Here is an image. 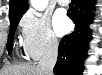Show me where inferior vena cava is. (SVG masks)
I'll return each mask as SVG.
<instances>
[{"label": "inferior vena cava", "mask_w": 102, "mask_h": 75, "mask_svg": "<svg viewBox=\"0 0 102 75\" xmlns=\"http://www.w3.org/2000/svg\"><path fill=\"white\" fill-rule=\"evenodd\" d=\"M58 56V41L55 38L48 40L44 55L39 60L38 67L45 71L46 75H53V68Z\"/></svg>", "instance_id": "obj_1"}]
</instances>
